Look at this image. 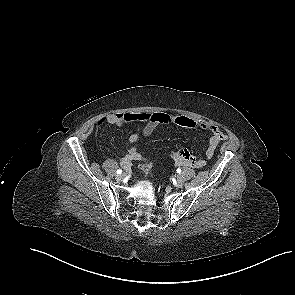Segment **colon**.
I'll list each match as a JSON object with an SVG mask.
<instances>
[{"instance_id": "obj_1", "label": "colon", "mask_w": 295, "mask_h": 295, "mask_svg": "<svg viewBox=\"0 0 295 295\" xmlns=\"http://www.w3.org/2000/svg\"><path fill=\"white\" fill-rule=\"evenodd\" d=\"M152 163L150 161H145L144 163L141 164V169L145 172L148 173L151 170Z\"/></svg>"}]
</instances>
